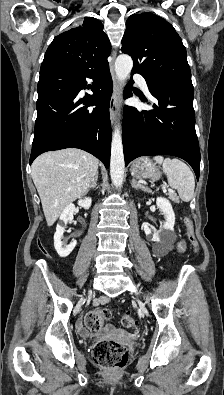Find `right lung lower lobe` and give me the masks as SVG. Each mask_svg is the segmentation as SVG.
<instances>
[{"instance_id":"obj_1","label":"right lung lower lobe","mask_w":224,"mask_h":395,"mask_svg":"<svg viewBox=\"0 0 224 395\" xmlns=\"http://www.w3.org/2000/svg\"><path fill=\"white\" fill-rule=\"evenodd\" d=\"M86 78L97 83L92 90L93 95L80 99L78 94L86 88ZM112 90L109 65L81 72L55 62L42 63L30 164L46 151L72 147L93 154L108 168ZM93 105L96 107L90 108Z\"/></svg>"}]
</instances>
